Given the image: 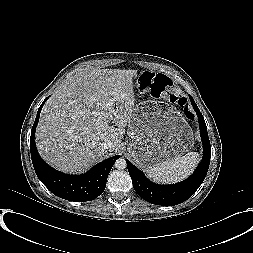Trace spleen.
<instances>
[{"label":"spleen","instance_id":"3e777b00","mask_svg":"<svg viewBox=\"0 0 253 253\" xmlns=\"http://www.w3.org/2000/svg\"><path fill=\"white\" fill-rule=\"evenodd\" d=\"M198 163L199 154L190 152L179 158L150 166L145 172L155 181L171 183L186 178Z\"/></svg>","mask_w":253,"mask_h":253}]
</instances>
